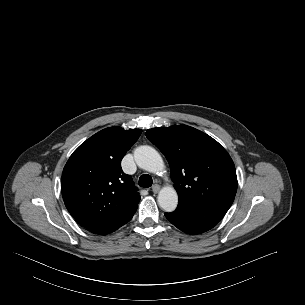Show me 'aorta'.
<instances>
[{"label":"aorta","mask_w":305,"mask_h":305,"mask_svg":"<svg viewBox=\"0 0 305 305\" xmlns=\"http://www.w3.org/2000/svg\"><path fill=\"white\" fill-rule=\"evenodd\" d=\"M137 165L151 173L163 170L164 162L161 155L151 146H140L134 151ZM158 204L166 212H173L178 204V195L174 188L164 187L158 194Z\"/></svg>","instance_id":"762f6f07"}]
</instances>
